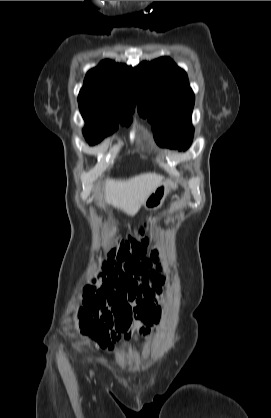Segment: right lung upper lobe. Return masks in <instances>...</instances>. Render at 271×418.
Masks as SVG:
<instances>
[{
	"label": "right lung upper lobe",
	"mask_w": 271,
	"mask_h": 418,
	"mask_svg": "<svg viewBox=\"0 0 271 418\" xmlns=\"http://www.w3.org/2000/svg\"><path fill=\"white\" fill-rule=\"evenodd\" d=\"M135 100L132 68L110 60L87 73L78 96L80 110L109 116L131 115Z\"/></svg>",
	"instance_id": "obj_1"
}]
</instances>
